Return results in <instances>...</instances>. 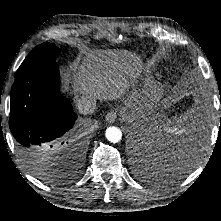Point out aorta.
<instances>
[{"instance_id":"aorta-1","label":"aorta","mask_w":221,"mask_h":221,"mask_svg":"<svg viewBox=\"0 0 221 221\" xmlns=\"http://www.w3.org/2000/svg\"><path fill=\"white\" fill-rule=\"evenodd\" d=\"M146 134V132H142L141 135ZM106 138L109 142L117 143L122 139V132L119 128L111 126L106 129Z\"/></svg>"}]
</instances>
